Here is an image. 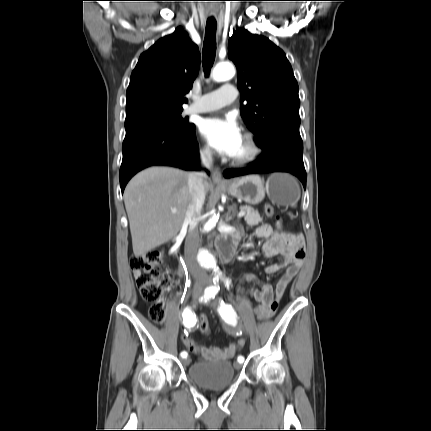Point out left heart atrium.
Returning <instances> with one entry per match:
<instances>
[{
    "instance_id": "1",
    "label": "left heart atrium",
    "mask_w": 431,
    "mask_h": 431,
    "mask_svg": "<svg viewBox=\"0 0 431 431\" xmlns=\"http://www.w3.org/2000/svg\"><path fill=\"white\" fill-rule=\"evenodd\" d=\"M199 130L212 148L231 157L235 155L243 140L240 128L231 119L205 118L201 121Z\"/></svg>"
}]
</instances>
